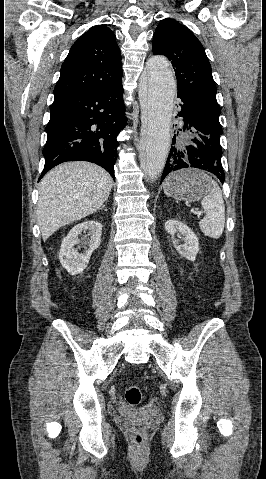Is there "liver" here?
<instances>
[{
    "label": "liver",
    "mask_w": 266,
    "mask_h": 479,
    "mask_svg": "<svg viewBox=\"0 0 266 479\" xmlns=\"http://www.w3.org/2000/svg\"><path fill=\"white\" fill-rule=\"evenodd\" d=\"M113 180L85 161L61 164L41 180L37 219L43 241L59 228L95 213L108 199Z\"/></svg>",
    "instance_id": "6515ba94"
}]
</instances>
